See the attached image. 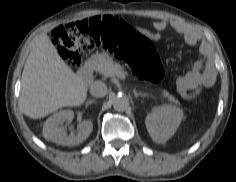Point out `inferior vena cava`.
Instances as JSON below:
<instances>
[{
	"label": "inferior vena cava",
	"instance_id": "inferior-vena-cava-1",
	"mask_svg": "<svg viewBox=\"0 0 236 182\" xmlns=\"http://www.w3.org/2000/svg\"><path fill=\"white\" fill-rule=\"evenodd\" d=\"M90 94L96 98H102L107 94V86L102 81H95L90 87Z\"/></svg>",
	"mask_w": 236,
	"mask_h": 182
}]
</instances>
